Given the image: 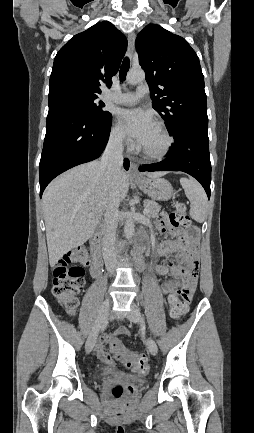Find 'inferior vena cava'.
I'll return each mask as SVG.
<instances>
[{
	"mask_svg": "<svg viewBox=\"0 0 254 433\" xmlns=\"http://www.w3.org/2000/svg\"><path fill=\"white\" fill-rule=\"evenodd\" d=\"M123 140L124 135L122 134L112 136L101 157V166L108 170V174L113 180L117 178L123 166ZM119 204V198L117 196L114 197L104 214L105 232L102 238V250L105 266L111 274L114 272V267L117 263L115 241Z\"/></svg>",
	"mask_w": 254,
	"mask_h": 433,
	"instance_id": "602c4592",
	"label": "inferior vena cava"
}]
</instances>
